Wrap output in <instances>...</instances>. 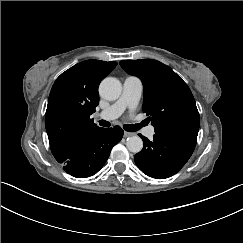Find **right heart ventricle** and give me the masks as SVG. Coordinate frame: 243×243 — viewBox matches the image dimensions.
<instances>
[{"label": "right heart ventricle", "mask_w": 243, "mask_h": 243, "mask_svg": "<svg viewBox=\"0 0 243 243\" xmlns=\"http://www.w3.org/2000/svg\"><path fill=\"white\" fill-rule=\"evenodd\" d=\"M131 77H133V78H138V77H135V76H131ZM139 79V78H138Z\"/></svg>", "instance_id": "obj_1"}]
</instances>
